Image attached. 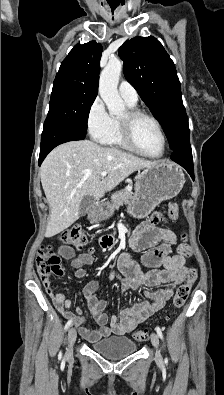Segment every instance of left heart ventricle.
I'll return each mask as SVG.
<instances>
[{
  "mask_svg": "<svg viewBox=\"0 0 224 395\" xmlns=\"http://www.w3.org/2000/svg\"><path fill=\"white\" fill-rule=\"evenodd\" d=\"M125 115L126 113L122 117ZM134 133L137 143L145 152L152 155H159L162 152V138L151 120L139 119L135 124Z\"/></svg>",
  "mask_w": 224,
  "mask_h": 395,
  "instance_id": "b2bd125f",
  "label": "left heart ventricle"
}]
</instances>
